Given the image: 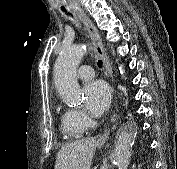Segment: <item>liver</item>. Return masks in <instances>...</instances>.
<instances>
[{"mask_svg": "<svg viewBox=\"0 0 177 169\" xmlns=\"http://www.w3.org/2000/svg\"><path fill=\"white\" fill-rule=\"evenodd\" d=\"M99 145L95 138H86L63 146L57 153L55 169H90Z\"/></svg>", "mask_w": 177, "mask_h": 169, "instance_id": "liver-1", "label": "liver"}]
</instances>
